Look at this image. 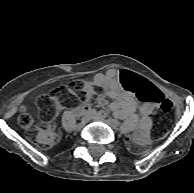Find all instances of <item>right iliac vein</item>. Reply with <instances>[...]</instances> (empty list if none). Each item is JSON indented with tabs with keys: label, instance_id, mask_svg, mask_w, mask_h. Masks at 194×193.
<instances>
[{
	"label": "right iliac vein",
	"instance_id": "1",
	"mask_svg": "<svg viewBox=\"0 0 194 193\" xmlns=\"http://www.w3.org/2000/svg\"><path fill=\"white\" fill-rule=\"evenodd\" d=\"M85 124H86L85 120H84V122L77 124V129L81 130L82 128H84Z\"/></svg>",
	"mask_w": 194,
	"mask_h": 193
}]
</instances>
